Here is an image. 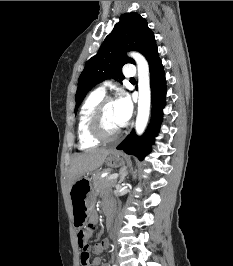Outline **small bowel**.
<instances>
[{
  "label": "small bowel",
  "mask_w": 233,
  "mask_h": 266,
  "mask_svg": "<svg viewBox=\"0 0 233 266\" xmlns=\"http://www.w3.org/2000/svg\"><path fill=\"white\" fill-rule=\"evenodd\" d=\"M91 222L94 223L97 220V216L95 213H92L91 215ZM92 231L91 230H85L84 231V242L87 244V240L90 237ZM88 245V244H87ZM89 247V245H88ZM107 247L106 241H101L93 245L91 248L89 247V251L93 253H100L103 249ZM87 266H106L105 264H102V258L100 256H96L93 259H91L90 263Z\"/></svg>",
  "instance_id": "1"
}]
</instances>
